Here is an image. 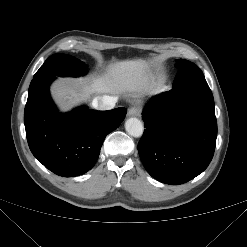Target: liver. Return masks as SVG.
Listing matches in <instances>:
<instances>
[{"instance_id":"liver-1","label":"liver","mask_w":247,"mask_h":247,"mask_svg":"<svg viewBox=\"0 0 247 247\" xmlns=\"http://www.w3.org/2000/svg\"><path fill=\"white\" fill-rule=\"evenodd\" d=\"M154 86L155 82L147 62L124 60L110 64L103 75L93 78L91 82L80 80L78 86L58 84L54 87V95L68 110L87 100L92 94H112L116 91L146 92Z\"/></svg>"}]
</instances>
